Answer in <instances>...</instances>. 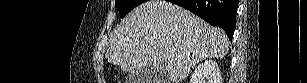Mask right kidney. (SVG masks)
Returning a JSON list of instances; mask_svg holds the SVG:
<instances>
[{
	"instance_id": "1",
	"label": "right kidney",
	"mask_w": 307,
	"mask_h": 83,
	"mask_svg": "<svg viewBox=\"0 0 307 83\" xmlns=\"http://www.w3.org/2000/svg\"><path fill=\"white\" fill-rule=\"evenodd\" d=\"M190 83H221V73L214 60L200 63L192 73Z\"/></svg>"
}]
</instances>
